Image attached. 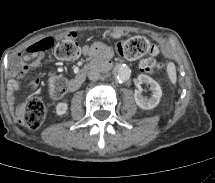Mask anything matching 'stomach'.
<instances>
[{"instance_id":"1","label":"stomach","mask_w":215,"mask_h":183,"mask_svg":"<svg viewBox=\"0 0 215 183\" xmlns=\"http://www.w3.org/2000/svg\"><path fill=\"white\" fill-rule=\"evenodd\" d=\"M110 36L114 39H119L121 38L122 36H124V33L121 32V31H114L110 34Z\"/></svg>"}]
</instances>
